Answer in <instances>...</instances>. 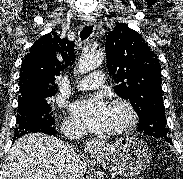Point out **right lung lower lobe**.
<instances>
[{"mask_svg":"<svg viewBox=\"0 0 183 179\" xmlns=\"http://www.w3.org/2000/svg\"><path fill=\"white\" fill-rule=\"evenodd\" d=\"M30 132H33V133L42 132V133H46V134H49V135H55L57 133V131L52 126H49V127L34 129V130H30V131H24L22 134L14 136V140L18 139L22 135H25V134L30 133Z\"/></svg>","mask_w":183,"mask_h":179,"instance_id":"obj_1","label":"right lung lower lobe"}]
</instances>
